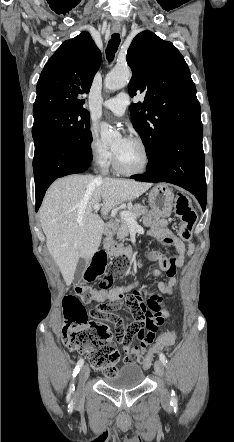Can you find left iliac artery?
<instances>
[{
	"instance_id": "obj_1",
	"label": "left iliac artery",
	"mask_w": 234,
	"mask_h": 442,
	"mask_svg": "<svg viewBox=\"0 0 234 442\" xmlns=\"http://www.w3.org/2000/svg\"><path fill=\"white\" fill-rule=\"evenodd\" d=\"M159 359L161 360V362L166 366L167 365V359L165 357V355L163 353L159 354ZM171 403L173 404H177V396L175 394L174 391H172L171 393Z\"/></svg>"
}]
</instances>
